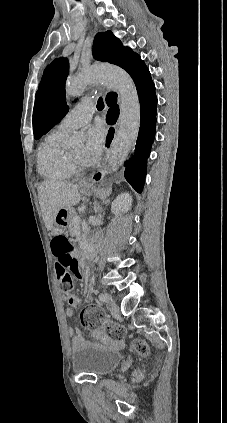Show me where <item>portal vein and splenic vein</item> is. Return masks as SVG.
Instances as JSON below:
<instances>
[{"instance_id": "18ae733b", "label": "portal vein and splenic vein", "mask_w": 227, "mask_h": 423, "mask_svg": "<svg viewBox=\"0 0 227 423\" xmlns=\"http://www.w3.org/2000/svg\"><path fill=\"white\" fill-rule=\"evenodd\" d=\"M73 221H77V223H79V221H81L79 215H75V217H73Z\"/></svg>"}]
</instances>
